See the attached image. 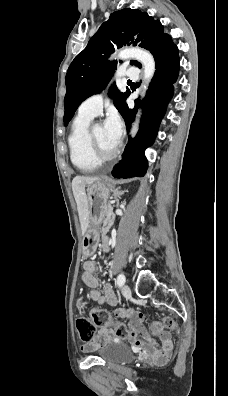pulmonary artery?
Segmentation results:
<instances>
[{"instance_id": "e3ab8cb5", "label": "pulmonary artery", "mask_w": 228, "mask_h": 396, "mask_svg": "<svg viewBox=\"0 0 228 396\" xmlns=\"http://www.w3.org/2000/svg\"><path fill=\"white\" fill-rule=\"evenodd\" d=\"M123 76L127 79L137 80L139 77V72L136 68L130 67L123 72ZM102 106L103 94H93L80 104L79 113L96 116L101 112Z\"/></svg>"}]
</instances>
